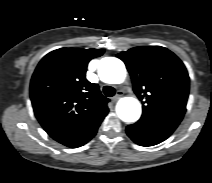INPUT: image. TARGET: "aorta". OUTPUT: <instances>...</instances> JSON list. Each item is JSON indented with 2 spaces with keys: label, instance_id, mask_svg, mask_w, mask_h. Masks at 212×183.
<instances>
[{
  "label": "aorta",
  "instance_id": "obj_1",
  "mask_svg": "<svg viewBox=\"0 0 212 183\" xmlns=\"http://www.w3.org/2000/svg\"><path fill=\"white\" fill-rule=\"evenodd\" d=\"M126 74L125 65L120 59L105 57L100 60L98 75L103 82L109 84L123 83ZM116 112L122 121L128 123L135 122L141 116V105L135 98H122L117 103Z\"/></svg>",
  "mask_w": 212,
  "mask_h": 183
}]
</instances>
